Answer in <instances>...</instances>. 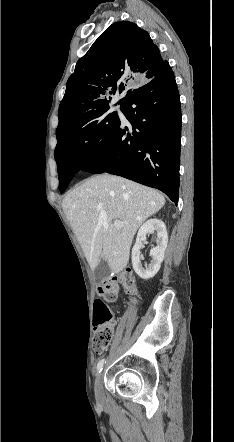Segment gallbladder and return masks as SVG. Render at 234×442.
<instances>
[{"label": "gallbladder", "mask_w": 234, "mask_h": 442, "mask_svg": "<svg viewBox=\"0 0 234 442\" xmlns=\"http://www.w3.org/2000/svg\"><path fill=\"white\" fill-rule=\"evenodd\" d=\"M95 280L97 283L103 282L110 274V267L105 259H102L95 269Z\"/></svg>", "instance_id": "bac80fb5"}]
</instances>
